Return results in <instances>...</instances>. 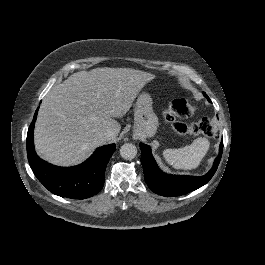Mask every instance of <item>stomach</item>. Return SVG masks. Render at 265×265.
Here are the masks:
<instances>
[{
  "label": "stomach",
  "instance_id": "obj_1",
  "mask_svg": "<svg viewBox=\"0 0 265 265\" xmlns=\"http://www.w3.org/2000/svg\"><path fill=\"white\" fill-rule=\"evenodd\" d=\"M152 104L153 100L149 93L139 94L134 108V134L140 139L152 137L157 132L159 121Z\"/></svg>",
  "mask_w": 265,
  "mask_h": 265
}]
</instances>
